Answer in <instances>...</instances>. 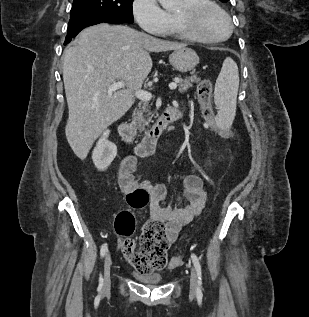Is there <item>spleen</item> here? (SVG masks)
I'll use <instances>...</instances> for the list:
<instances>
[{
	"label": "spleen",
	"mask_w": 309,
	"mask_h": 317,
	"mask_svg": "<svg viewBox=\"0 0 309 317\" xmlns=\"http://www.w3.org/2000/svg\"><path fill=\"white\" fill-rule=\"evenodd\" d=\"M239 88L238 66L227 57L215 83L214 101L218 108L216 122L219 127L231 126L236 114V102Z\"/></svg>",
	"instance_id": "obj_1"
}]
</instances>
